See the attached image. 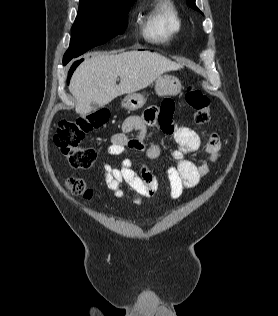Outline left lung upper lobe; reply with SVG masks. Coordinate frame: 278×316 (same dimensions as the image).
Segmentation results:
<instances>
[{"label": "left lung upper lobe", "mask_w": 278, "mask_h": 316, "mask_svg": "<svg viewBox=\"0 0 278 316\" xmlns=\"http://www.w3.org/2000/svg\"><path fill=\"white\" fill-rule=\"evenodd\" d=\"M189 5L194 8L195 10L199 11V9L195 5V0H187Z\"/></svg>", "instance_id": "1"}]
</instances>
